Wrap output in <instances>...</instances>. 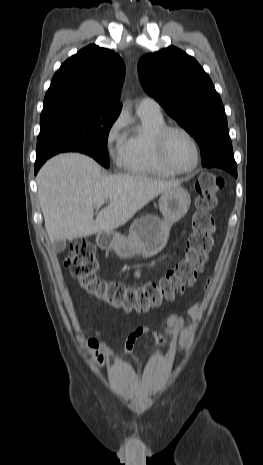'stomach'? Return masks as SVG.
<instances>
[{
	"instance_id": "obj_1",
	"label": "stomach",
	"mask_w": 263,
	"mask_h": 465,
	"mask_svg": "<svg viewBox=\"0 0 263 465\" xmlns=\"http://www.w3.org/2000/svg\"><path fill=\"white\" fill-rule=\"evenodd\" d=\"M190 203V194L185 189L166 190L159 199L162 218L154 215L139 218L130 226L127 236L116 232L98 233L96 243L121 258L154 256L165 247L172 225L187 214Z\"/></svg>"
}]
</instances>
